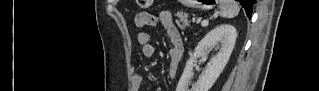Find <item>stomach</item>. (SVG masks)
<instances>
[{
  "label": "stomach",
  "mask_w": 319,
  "mask_h": 91,
  "mask_svg": "<svg viewBox=\"0 0 319 91\" xmlns=\"http://www.w3.org/2000/svg\"><path fill=\"white\" fill-rule=\"evenodd\" d=\"M183 2L188 4V6L199 7V8H203L205 10L212 9L215 6V3H216L215 0H204V1H198L197 3L196 2L189 3V1H183Z\"/></svg>",
  "instance_id": "0dacf381"
}]
</instances>
